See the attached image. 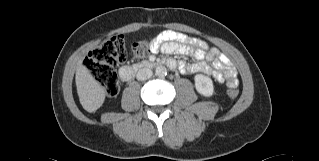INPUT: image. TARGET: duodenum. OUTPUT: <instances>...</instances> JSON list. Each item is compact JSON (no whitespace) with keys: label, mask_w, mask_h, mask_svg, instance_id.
I'll use <instances>...</instances> for the list:
<instances>
[{"label":"duodenum","mask_w":319,"mask_h":161,"mask_svg":"<svg viewBox=\"0 0 319 161\" xmlns=\"http://www.w3.org/2000/svg\"><path fill=\"white\" fill-rule=\"evenodd\" d=\"M160 66H166L171 70H175L176 62L170 58H166L163 60H148L133 66L121 67L119 70V75L122 81L128 82L135 76L136 73L142 70L152 69V68L160 67Z\"/></svg>","instance_id":"obj_1"}]
</instances>
